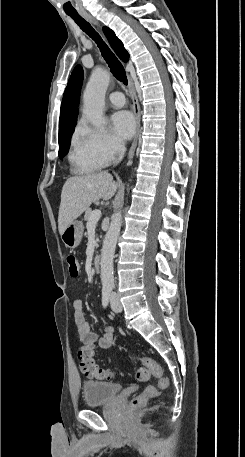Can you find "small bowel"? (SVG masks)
<instances>
[{
    "mask_svg": "<svg viewBox=\"0 0 245 457\" xmlns=\"http://www.w3.org/2000/svg\"><path fill=\"white\" fill-rule=\"evenodd\" d=\"M73 316L78 336L82 343L91 346L98 345L103 349L111 346L113 342L114 328L112 326L105 327L102 336H98V334L93 332L87 319L85 318L83 303L80 299H76L73 302Z\"/></svg>",
    "mask_w": 245,
    "mask_h": 457,
    "instance_id": "1",
    "label": "small bowel"
}]
</instances>
